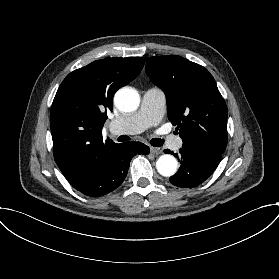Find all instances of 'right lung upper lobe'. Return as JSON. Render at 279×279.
Segmentation results:
<instances>
[{"mask_svg": "<svg viewBox=\"0 0 279 279\" xmlns=\"http://www.w3.org/2000/svg\"><path fill=\"white\" fill-rule=\"evenodd\" d=\"M144 63L143 57L97 60L61 83L50 112L54 159L74 188L95 175L118 145L102 139L106 113L114 93L135 79Z\"/></svg>", "mask_w": 279, "mask_h": 279, "instance_id": "cb5924a9", "label": "right lung upper lobe"}]
</instances>
